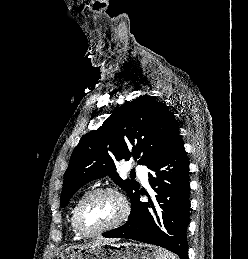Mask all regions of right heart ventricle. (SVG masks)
Listing matches in <instances>:
<instances>
[{
  "label": "right heart ventricle",
  "instance_id": "obj_1",
  "mask_svg": "<svg viewBox=\"0 0 248 259\" xmlns=\"http://www.w3.org/2000/svg\"><path fill=\"white\" fill-rule=\"evenodd\" d=\"M79 202V199L75 202V204L73 205L72 209H71V213H70V218H69V222H70V227H71V230L73 232V235L76 237V238H81L82 235L77 231L75 225H74V219H73V216H74V210H75V207L77 205V203Z\"/></svg>",
  "mask_w": 248,
  "mask_h": 259
}]
</instances>
